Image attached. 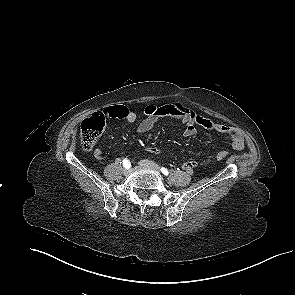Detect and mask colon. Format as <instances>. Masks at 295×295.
<instances>
[{"instance_id": "5ec220e1", "label": "colon", "mask_w": 295, "mask_h": 295, "mask_svg": "<svg viewBox=\"0 0 295 295\" xmlns=\"http://www.w3.org/2000/svg\"><path fill=\"white\" fill-rule=\"evenodd\" d=\"M105 125L104 117L101 114H95L92 117L85 119L81 124V145L84 150H91L96 143L99 135L103 131ZM151 155L157 156L159 151L157 148H149ZM227 152L221 151L217 154L218 159H224Z\"/></svg>"}]
</instances>
